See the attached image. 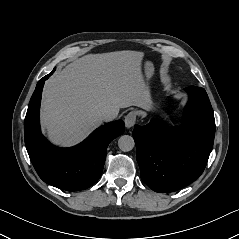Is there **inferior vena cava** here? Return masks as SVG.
Listing matches in <instances>:
<instances>
[{
  "mask_svg": "<svg viewBox=\"0 0 239 239\" xmlns=\"http://www.w3.org/2000/svg\"><path fill=\"white\" fill-rule=\"evenodd\" d=\"M101 120L109 121L115 118V115L111 112H103L99 114Z\"/></svg>",
  "mask_w": 239,
  "mask_h": 239,
  "instance_id": "1",
  "label": "inferior vena cava"
}]
</instances>
